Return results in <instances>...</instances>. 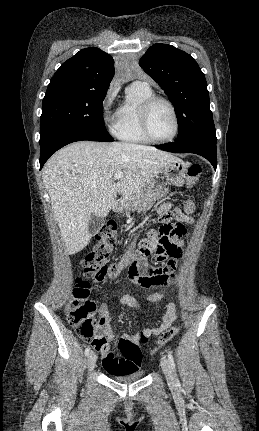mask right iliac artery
Returning a JSON list of instances; mask_svg holds the SVG:
<instances>
[{"mask_svg": "<svg viewBox=\"0 0 259 431\" xmlns=\"http://www.w3.org/2000/svg\"><path fill=\"white\" fill-rule=\"evenodd\" d=\"M90 352H91L90 347H87V348L85 349V355H86V356H89Z\"/></svg>", "mask_w": 259, "mask_h": 431, "instance_id": "obj_1", "label": "right iliac artery"}]
</instances>
